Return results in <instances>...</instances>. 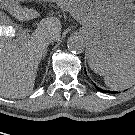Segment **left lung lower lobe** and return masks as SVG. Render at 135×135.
<instances>
[{
	"label": "left lung lower lobe",
	"mask_w": 135,
	"mask_h": 135,
	"mask_svg": "<svg viewBox=\"0 0 135 135\" xmlns=\"http://www.w3.org/2000/svg\"><path fill=\"white\" fill-rule=\"evenodd\" d=\"M100 92H104V93H116L115 91H104V90H102V89H100V88H98V87H96Z\"/></svg>",
	"instance_id": "0a47b994"
}]
</instances>
